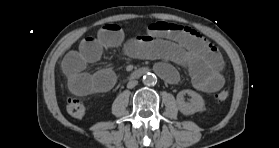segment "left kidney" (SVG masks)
Masks as SVG:
<instances>
[{"label":"left kidney","instance_id":"obj_1","mask_svg":"<svg viewBox=\"0 0 279 148\" xmlns=\"http://www.w3.org/2000/svg\"><path fill=\"white\" fill-rule=\"evenodd\" d=\"M191 96L190 102H185L184 95ZM177 105L181 113L184 115H192L196 112L203 111L205 109L204 99L200 94L193 90H183L177 94Z\"/></svg>","mask_w":279,"mask_h":148}]
</instances>
